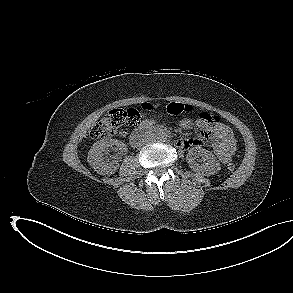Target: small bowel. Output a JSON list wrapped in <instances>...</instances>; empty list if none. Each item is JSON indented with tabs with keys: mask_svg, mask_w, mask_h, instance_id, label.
<instances>
[{
	"mask_svg": "<svg viewBox=\"0 0 293 293\" xmlns=\"http://www.w3.org/2000/svg\"><path fill=\"white\" fill-rule=\"evenodd\" d=\"M143 109L151 111L154 107L145 103L143 104ZM153 122L151 118H145L142 125H152ZM180 125L184 129H189L192 126V122L190 119L185 118L180 122ZM196 126L199 129V134L195 137L179 140L178 147L186 149L208 142L221 163L229 162L236 149V141L230 128L219 122L208 121L201 114L196 121Z\"/></svg>",
	"mask_w": 293,
	"mask_h": 293,
	"instance_id": "c3829d8e",
	"label": "small bowel"
}]
</instances>
